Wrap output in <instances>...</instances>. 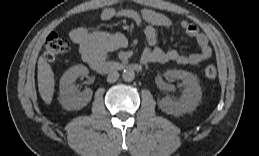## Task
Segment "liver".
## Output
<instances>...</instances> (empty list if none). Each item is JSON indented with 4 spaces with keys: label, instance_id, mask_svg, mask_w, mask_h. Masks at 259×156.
<instances>
[{
    "label": "liver",
    "instance_id": "6515ba94",
    "mask_svg": "<svg viewBox=\"0 0 259 156\" xmlns=\"http://www.w3.org/2000/svg\"><path fill=\"white\" fill-rule=\"evenodd\" d=\"M38 88L41 98L46 104H50L54 94V73L51 66L41 56L38 59Z\"/></svg>",
    "mask_w": 259,
    "mask_h": 156
}]
</instances>
